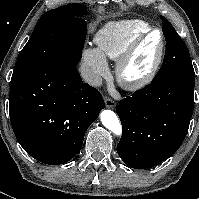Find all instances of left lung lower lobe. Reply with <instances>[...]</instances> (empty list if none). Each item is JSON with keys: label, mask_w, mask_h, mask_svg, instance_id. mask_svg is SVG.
I'll list each match as a JSON object with an SVG mask.
<instances>
[{"label": "left lung lower lobe", "mask_w": 199, "mask_h": 199, "mask_svg": "<svg viewBox=\"0 0 199 199\" xmlns=\"http://www.w3.org/2000/svg\"><path fill=\"white\" fill-rule=\"evenodd\" d=\"M194 85L195 78L171 77L119 102L122 137L117 152L125 164L150 168L179 149L194 110Z\"/></svg>", "instance_id": "obj_1"}]
</instances>
